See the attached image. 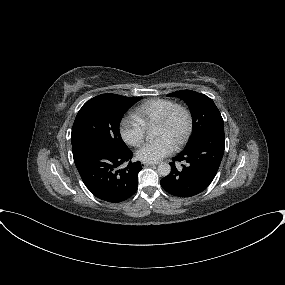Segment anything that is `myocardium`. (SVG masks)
<instances>
[{
  "mask_svg": "<svg viewBox=\"0 0 285 285\" xmlns=\"http://www.w3.org/2000/svg\"><path fill=\"white\" fill-rule=\"evenodd\" d=\"M178 113L182 114L184 119H185V128H184V131H183L181 138L176 143V147H180V146L184 145L187 142V140L191 134L192 117H191L190 111L186 107L177 104L174 107H172L162 118H160L157 121L158 125L167 126L173 121L174 117Z\"/></svg>",
  "mask_w": 285,
  "mask_h": 285,
  "instance_id": "f54148a6",
  "label": "myocardium"
}]
</instances>
